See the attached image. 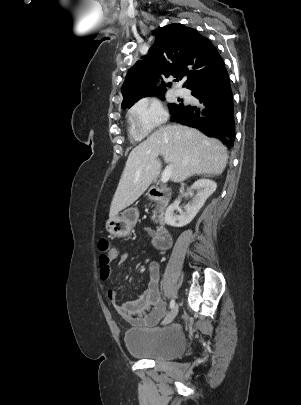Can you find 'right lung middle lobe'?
Segmentation results:
<instances>
[{"label":"right lung middle lobe","mask_w":301,"mask_h":405,"mask_svg":"<svg viewBox=\"0 0 301 405\" xmlns=\"http://www.w3.org/2000/svg\"><path fill=\"white\" fill-rule=\"evenodd\" d=\"M155 96L159 97L162 100H164V98H165L164 97V92L160 93V94H157ZM183 105H185V104H183V100H181L180 104H169L170 112L172 113L173 111L177 110L178 108L182 107Z\"/></svg>","instance_id":"right-lung-middle-lobe-1"}]
</instances>
